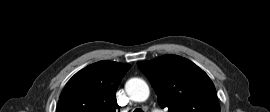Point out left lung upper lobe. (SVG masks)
<instances>
[{"label":"left lung upper lobe","mask_w":270,"mask_h":112,"mask_svg":"<svg viewBox=\"0 0 270 112\" xmlns=\"http://www.w3.org/2000/svg\"><path fill=\"white\" fill-rule=\"evenodd\" d=\"M169 112H220L216 89L208 75L190 60L164 55L137 63Z\"/></svg>","instance_id":"left-lung-upper-lobe-1"}]
</instances>
